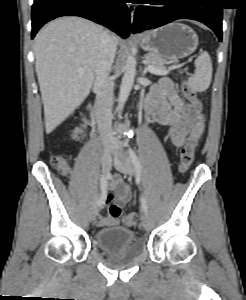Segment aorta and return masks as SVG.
<instances>
[{
    "label": "aorta",
    "instance_id": "762f6f07",
    "mask_svg": "<svg viewBox=\"0 0 246 300\" xmlns=\"http://www.w3.org/2000/svg\"><path fill=\"white\" fill-rule=\"evenodd\" d=\"M136 75V59L134 56L129 55L124 67V75L120 85L118 96V116L120 117L125 102L127 101L134 84Z\"/></svg>",
    "mask_w": 246,
    "mask_h": 300
}]
</instances>
